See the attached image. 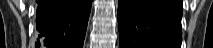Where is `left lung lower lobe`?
I'll list each match as a JSON object with an SVG mask.
<instances>
[{
	"instance_id": "0a47b994",
	"label": "left lung lower lobe",
	"mask_w": 213,
	"mask_h": 48,
	"mask_svg": "<svg viewBox=\"0 0 213 48\" xmlns=\"http://www.w3.org/2000/svg\"><path fill=\"white\" fill-rule=\"evenodd\" d=\"M182 0H119L120 48H180Z\"/></svg>"
}]
</instances>
